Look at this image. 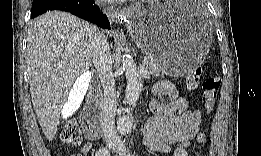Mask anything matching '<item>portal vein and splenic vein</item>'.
Segmentation results:
<instances>
[{"label":"portal vein and splenic vein","mask_w":261,"mask_h":156,"mask_svg":"<svg viewBox=\"0 0 261 156\" xmlns=\"http://www.w3.org/2000/svg\"><path fill=\"white\" fill-rule=\"evenodd\" d=\"M148 63H149V60H148L147 57H145V58L143 59V61H142V64H143V65H147Z\"/></svg>","instance_id":"18ae733b"}]
</instances>
